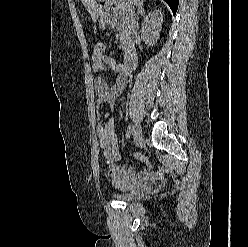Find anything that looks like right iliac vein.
<instances>
[{
  "mask_svg": "<svg viewBox=\"0 0 248 247\" xmlns=\"http://www.w3.org/2000/svg\"><path fill=\"white\" fill-rule=\"evenodd\" d=\"M132 135H133V140L136 144L142 142L143 137H142L141 129L138 124L133 125Z\"/></svg>",
  "mask_w": 248,
  "mask_h": 247,
  "instance_id": "63e3f726",
  "label": "right iliac vein"
}]
</instances>
